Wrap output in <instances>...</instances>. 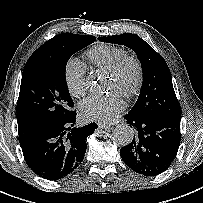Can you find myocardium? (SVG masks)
Wrapping results in <instances>:
<instances>
[{
  "label": "myocardium",
  "mask_w": 203,
  "mask_h": 203,
  "mask_svg": "<svg viewBox=\"0 0 203 203\" xmlns=\"http://www.w3.org/2000/svg\"><path fill=\"white\" fill-rule=\"evenodd\" d=\"M128 64H131L134 68V79L130 88L125 92L124 95L130 98L137 94L143 81V67L139 58L133 54H125L117 60V62L108 72L111 76H114Z\"/></svg>",
  "instance_id": "obj_1"
}]
</instances>
